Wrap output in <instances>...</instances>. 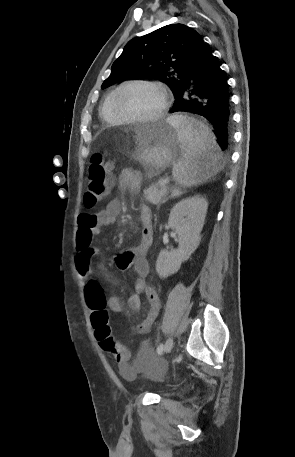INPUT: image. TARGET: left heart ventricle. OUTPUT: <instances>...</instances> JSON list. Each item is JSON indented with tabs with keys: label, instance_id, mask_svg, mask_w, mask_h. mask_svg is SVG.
<instances>
[{
	"label": "left heart ventricle",
	"instance_id": "left-heart-ventricle-1",
	"mask_svg": "<svg viewBox=\"0 0 295 457\" xmlns=\"http://www.w3.org/2000/svg\"><path fill=\"white\" fill-rule=\"evenodd\" d=\"M121 109L134 117H148L157 113L163 104L161 91L148 85L126 88L120 95Z\"/></svg>",
	"mask_w": 295,
	"mask_h": 457
}]
</instances>
